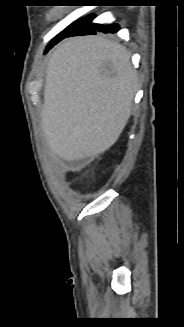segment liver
<instances>
[{
    "label": "liver",
    "instance_id": "liver-1",
    "mask_svg": "<svg viewBox=\"0 0 184 327\" xmlns=\"http://www.w3.org/2000/svg\"><path fill=\"white\" fill-rule=\"evenodd\" d=\"M137 86L122 45L99 36L58 45L48 60L41 112L50 149L67 161L109 149L128 122Z\"/></svg>",
    "mask_w": 184,
    "mask_h": 327
}]
</instances>
